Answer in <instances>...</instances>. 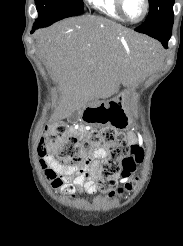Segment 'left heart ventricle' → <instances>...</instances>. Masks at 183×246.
<instances>
[{
    "label": "left heart ventricle",
    "mask_w": 183,
    "mask_h": 246,
    "mask_svg": "<svg viewBox=\"0 0 183 246\" xmlns=\"http://www.w3.org/2000/svg\"><path fill=\"white\" fill-rule=\"evenodd\" d=\"M125 11L129 18L137 20L141 17L144 11L142 0H125Z\"/></svg>",
    "instance_id": "left-heart-ventricle-1"
}]
</instances>
